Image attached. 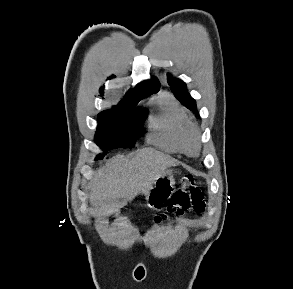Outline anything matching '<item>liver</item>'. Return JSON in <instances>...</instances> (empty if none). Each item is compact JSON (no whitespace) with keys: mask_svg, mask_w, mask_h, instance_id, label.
I'll return each mask as SVG.
<instances>
[{"mask_svg":"<svg viewBox=\"0 0 293 289\" xmlns=\"http://www.w3.org/2000/svg\"><path fill=\"white\" fill-rule=\"evenodd\" d=\"M177 164L175 159L153 148L141 149L131 160L117 155L95 174L90 183V202L98 206L116 199L131 201L139 194L147 195L166 169Z\"/></svg>","mask_w":293,"mask_h":289,"instance_id":"1","label":"liver"}]
</instances>
